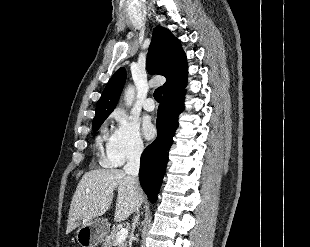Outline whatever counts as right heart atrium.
<instances>
[{
  "instance_id": "1",
  "label": "right heart atrium",
  "mask_w": 310,
  "mask_h": 247,
  "mask_svg": "<svg viewBox=\"0 0 310 247\" xmlns=\"http://www.w3.org/2000/svg\"><path fill=\"white\" fill-rule=\"evenodd\" d=\"M115 127L109 136L102 163L107 166H120L125 161L140 158L144 144L138 123L121 110L112 114Z\"/></svg>"
}]
</instances>
